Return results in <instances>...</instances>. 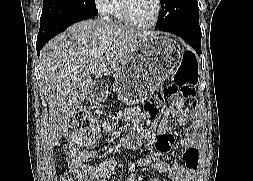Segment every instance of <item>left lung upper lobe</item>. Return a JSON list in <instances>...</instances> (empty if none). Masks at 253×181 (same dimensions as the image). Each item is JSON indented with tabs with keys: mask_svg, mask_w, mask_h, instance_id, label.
Returning a JSON list of instances; mask_svg holds the SVG:
<instances>
[{
	"mask_svg": "<svg viewBox=\"0 0 253 181\" xmlns=\"http://www.w3.org/2000/svg\"><path fill=\"white\" fill-rule=\"evenodd\" d=\"M162 11L156 26L199 25L197 0H161Z\"/></svg>",
	"mask_w": 253,
	"mask_h": 181,
	"instance_id": "1",
	"label": "left lung upper lobe"
}]
</instances>
